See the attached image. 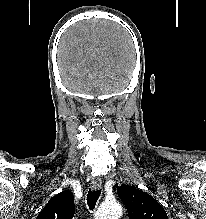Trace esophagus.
<instances>
[{
    "instance_id": "34e87169",
    "label": "esophagus",
    "mask_w": 206,
    "mask_h": 219,
    "mask_svg": "<svg viewBox=\"0 0 206 219\" xmlns=\"http://www.w3.org/2000/svg\"><path fill=\"white\" fill-rule=\"evenodd\" d=\"M90 187L93 189V190H98L102 187V182L100 180V178H96L95 180H93L90 184Z\"/></svg>"
}]
</instances>
